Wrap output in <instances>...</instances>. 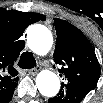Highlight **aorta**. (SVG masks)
<instances>
[{
    "label": "aorta",
    "instance_id": "1",
    "mask_svg": "<svg viewBox=\"0 0 103 103\" xmlns=\"http://www.w3.org/2000/svg\"><path fill=\"white\" fill-rule=\"evenodd\" d=\"M27 44L31 51L43 56L51 49L53 37L47 27L36 24L27 33ZM36 85L39 92L46 97H54L60 90L59 77L49 70H43L37 75Z\"/></svg>",
    "mask_w": 103,
    "mask_h": 103
}]
</instances>
